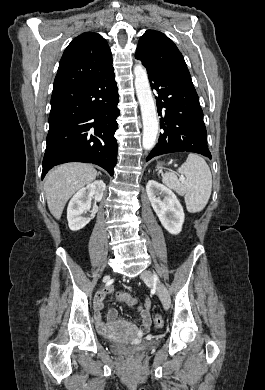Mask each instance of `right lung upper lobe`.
<instances>
[{
    "mask_svg": "<svg viewBox=\"0 0 265 390\" xmlns=\"http://www.w3.org/2000/svg\"><path fill=\"white\" fill-rule=\"evenodd\" d=\"M112 67V54L106 40L85 32L65 49L60 60L53 91L84 82Z\"/></svg>",
    "mask_w": 265,
    "mask_h": 390,
    "instance_id": "1",
    "label": "right lung upper lobe"
}]
</instances>
